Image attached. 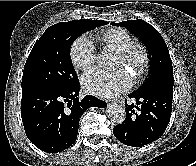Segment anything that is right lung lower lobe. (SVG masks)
<instances>
[{"label": "right lung lower lobe", "instance_id": "1", "mask_svg": "<svg viewBox=\"0 0 196 166\" xmlns=\"http://www.w3.org/2000/svg\"><path fill=\"white\" fill-rule=\"evenodd\" d=\"M80 84L68 90L32 85L22 88L21 116L28 139L42 151L57 153L77 138L81 115L106 102L88 95L79 100Z\"/></svg>", "mask_w": 196, "mask_h": 166}]
</instances>
